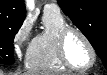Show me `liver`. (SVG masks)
Here are the masks:
<instances>
[{
  "mask_svg": "<svg viewBox=\"0 0 107 75\" xmlns=\"http://www.w3.org/2000/svg\"><path fill=\"white\" fill-rule=\"evenodd\" d=\"M11 75H30L29 73L25 72V73H15V74H11Z\"/></svg>",
  "mask_w": 107,
  "mask_h": 75,
  "instance_id": "liver-1",
  "label": "liver"
}]
</instances>
